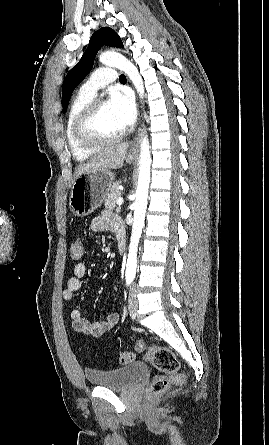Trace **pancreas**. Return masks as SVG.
I'll list each match as a JSON object with an SVG mask.
<instances>
[{"instance_id": "cf45deb5", "label": "pancreas", "mask_w": 269, "mask_h": 445, "mask_svg": "<svg viewBox=\"0 0 269 445\" xmlns=\"http://www.w3.org/2000/svg\"><path fill=\"white\" fill-rule=\"evenodd\" d=\"M119 182H116L112 185L107 197L105 199V208L107 209H115L117 204V199L121 197V192L118 190Z\"/></svg>"}]
</instances>
